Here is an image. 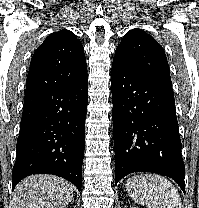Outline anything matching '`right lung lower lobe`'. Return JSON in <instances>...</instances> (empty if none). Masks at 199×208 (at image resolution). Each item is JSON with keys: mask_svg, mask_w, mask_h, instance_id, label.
Wrapping results in <instances>:
<instances>
[{"mask_svg": "<svg viewBox=\"0 0 199 208\" xmlns=\"http://www.w3.org/2000/svg\"><path fill=\"white\" fill-rule=\"evenodd\" d=\"M87 103V78L25 96L13 189L29 175L47 173L63 177L81 190Z\"/></svg>", "mask_w": 199, "mask_h": 208, "instance_id": "98d812e1", "label": "right lung lower lobe"}]
</instances>
